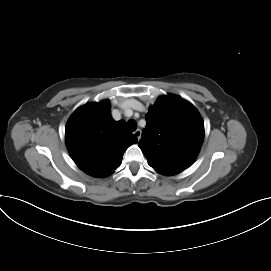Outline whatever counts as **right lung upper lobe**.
Here are the masks:
<instances>
[{
  "instance_id": "obj_1",
  "label": "right lung upper lobe",
  "mask_w": 271,
  "mask_h": 271,
  "mask_svg": "<svg viewBox=\"0 0 271 271\" xmlns=\"http://www.w3.org/2000/svg\"><path fill=\"white\" fill-rule=\"evenodd\" d=\"M65 139L74 162L93 177L112 174L121 165L125 150L137 143L124 121L111 119L108 101L77 109L67 122Z\"/></svg>"
}]
</instances>
